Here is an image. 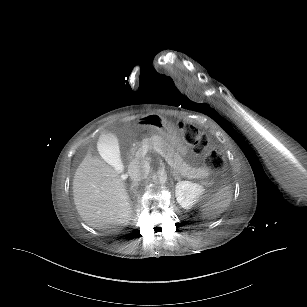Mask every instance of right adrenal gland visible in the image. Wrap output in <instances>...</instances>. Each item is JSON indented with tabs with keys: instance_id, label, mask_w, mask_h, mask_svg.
Here are the masks:
<instances>
[{
	"instance_id": "2a0ac1e0",
	"label": "right adrenal gland",
	"mask_w": 307,
	"mask_h": 307,
	"mask_svg": "<svg viewBox=\"0 0 307 307\" xmlns=\"http://www.w3.org/2000/svg\"><path fill=\"white\" fill-rule=\"evenodd\" d=\"M137 184L136 183H132L131 187H130V190L132 191L133 188L136 186Z\"/></svg>"
}]
</instances>
